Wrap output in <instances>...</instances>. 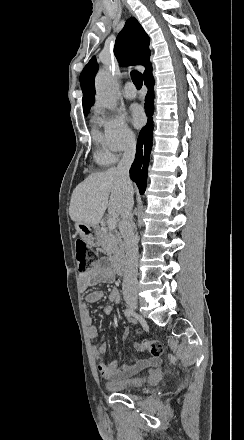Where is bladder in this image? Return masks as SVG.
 <instances>
[{"label":"bladder","instance_id":"obj_1","mask_svg":"<svg viewBox=\"0 0 244 440\" xmlns=\"http://www.w3.org/2000/svg\"><path fill=\"white\" fill-rule=\"evenodd\" d=\"M144 380V377H132L124 382H106V386L110 392L135 391L138 390Z\"/></svg>","mask_w":244,"mask_h":440}]
</instances>
